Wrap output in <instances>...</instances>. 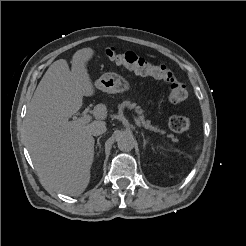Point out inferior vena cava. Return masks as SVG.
I'll return each mask as SVG.
<instances>
[{
  "instance_id": "inferior-vena-cava-1",
  "label": "inferior vena cava",
  "mask_w": 246,
  "mask_h": 246,
  "mask_svg": "<svg viewBox=\"0 0 246 246\" xmlns=\"http://www.w3.org/2000/svg\"><path fill=\"white\" fill-rule=\"evenodd\" d=\"M106 132V124L103 121L95 123L91 128V134L93 136H98Z\"/></svg>"
}]
</instances>
